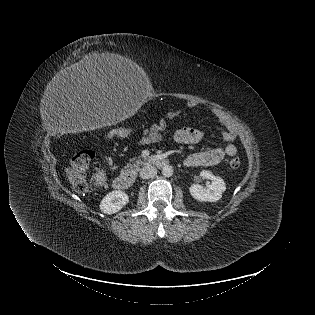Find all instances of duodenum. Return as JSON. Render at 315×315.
<instances>
[{
	"mask_svg": "<svg viewBox=\"0 0 315 315\" xmlns=\"http://www.w3.org/2000/svg\"><path fill=\"white\" fill-rule=\"evenodd\" d=\"M149 162L157 167H164L168 164L167 160L161 157H151ZM135 180V174L131 171H124L119 174L114 180V187L119 190L129 188Z\"/></svg>",
	"mask_w": 315,
	"mask_h": 315,
	"instance_id": "1",
	"label": "duodenum"
}]
</instances>
